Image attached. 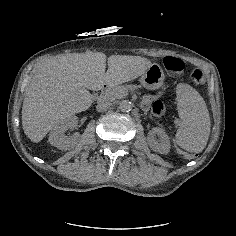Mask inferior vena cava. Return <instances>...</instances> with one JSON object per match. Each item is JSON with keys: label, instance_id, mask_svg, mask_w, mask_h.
Returning <instances> with one entry per match:
<instances>
[{"label": "inferior vena cava", "instance_id": "inferior-vena-cava-1", "mask_svg": "<svg viewBox=\"0 0 236 236\" xmlns=\"http://www.w3.org/2000/svg\"><path fill=\"white\" fill-rule=\"evenodd\" d=\"M111 106V103L110 102H104V101H101V102H98L97 106H96V110L98 112H101V111H106L107 109H109Z\"/></svg>", "mask_w": 236, "mask_h": 236}]
</instances>
